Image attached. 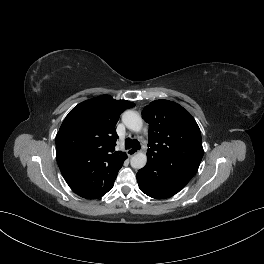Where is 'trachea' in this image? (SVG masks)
<instances>
[{
	"label": "trachea",
	"instance_id": "obj_1",
	"mask_svg": "<svg viewBox=\"0 0 264 264\" xmlns=\"http://www.w3.org/2000/svg\"><path fill=\"white\" fill-rule=\"evenodd\" d=\"M131 147L140 149V143L137 140H131L130 138H127L125 140V148L129 149Z\"/></svg>",
	"mask_w": 264,
	"mask_h": 264
}]
</instances>
